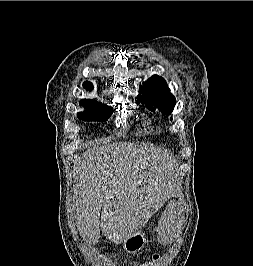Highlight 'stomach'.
Returning a JSON list of instances; mask_svg holds the SVG:
<instances>
[{
	"label": "stomach",
	"instance_id": "obj_1",
	"mask_svg": "<svg viewBox=\"0 0 253 266\" xmlns=\"http://www.w3.org/2000/svg\"><path fill=\"white\" fill-rule=\"evenodd\" d=\"M146 237L142 232H137L123 243V248L127 253H137L143 249Z\"/></svg>",
	"mask_w": 253,
	"mask_h": 266
}]
</instances>
